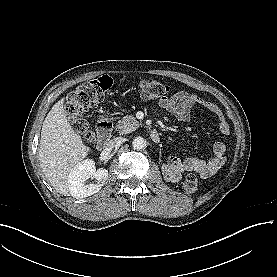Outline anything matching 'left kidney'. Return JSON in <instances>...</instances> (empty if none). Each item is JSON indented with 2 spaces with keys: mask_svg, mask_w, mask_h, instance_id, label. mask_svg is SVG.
Returning <instances> with one entry per match:
<instances>
[{
  "mask_svg": "<svg viewBox=\"0 0 277 277\" xmlns=\"http://www.w3.org/2000/svg\"><path fill=\"white\" fill-rule=\"evenodd\" d=\"M164 176H168L171 180L176 179L179 175H181V170L176 167L164 166L163 167Z\"/></svg>",
  "mask_w": 277,
  "mask_h": 277,
  "instance_id": "left-kidney-1",
  "label": "left kidney"
}]
</instances>
